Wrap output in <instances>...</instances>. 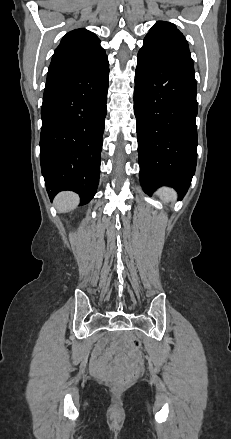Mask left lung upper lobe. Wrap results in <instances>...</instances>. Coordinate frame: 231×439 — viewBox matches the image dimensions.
Segmentation results:
<instances>
[{"mask_svg": "<svg viewBox=\"0 0 231 439\" xmlns=\"http://www.w3.org/2000/svg\"><path fill=\"white\" fill-rule=\"evenodd\" d=\"M165 61L193 66L187 40L173 23L158 21L144 39L139 50Z\"/></svg>", "mask_w": 231, "mask_h": 439, "instance_id": "obj_1", "label": "left lung upper lobe"}]
</instances>
